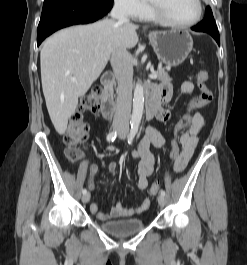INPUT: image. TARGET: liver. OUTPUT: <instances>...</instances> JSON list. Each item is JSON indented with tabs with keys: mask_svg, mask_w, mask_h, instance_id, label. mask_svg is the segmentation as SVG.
<instances>
[{
	"mask_svg": "<svg viewBox=\"0 0 247 265\" xmlns=\"http://www.w3.org/2000/svg\"><path fill=\"white\" fill-rule=\"evenodd\" d=\"M137 28L103 19L60 30L43 43L42 89L50 119L60 135L65 133L79 97L98 79L113 51L136 46Z\"/></svg>",
	"mask_w": 247,
	"mask_h": 265,
	"instance_id": "1",
	"label": "liver"
}]
</instances>
